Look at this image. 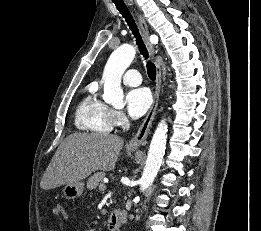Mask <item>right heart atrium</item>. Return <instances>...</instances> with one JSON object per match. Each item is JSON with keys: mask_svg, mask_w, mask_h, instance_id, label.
<instances>
[{"mask_svg": "<svg viewBox=\"0 0 261 231\" xmlns=\"http://www.w3.org/2000/svg\"><path fill=\"white\" fill-rule=\"evenodd\" d=\"M112 122L114 126L121 127L125 124L126 117L121 111L112 110Z\"/></svg>", "mask_w": 261, "mask_h": 231, "instance_id": "obj_1", "label": "right heart atrium"}]
</instances>
